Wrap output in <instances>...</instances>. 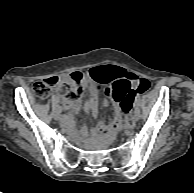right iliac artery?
Here are the masks:
<instances>
[{
  "mask_svg": "<svg viewBox=\"0 0 194 193\" xmlns=\"http://www.w3.org/2000/svg\"><path fill=\"white\" fill-rule=\"evenodd\" d=\"M71 118V115L70 114H64L63 116H62V119H64V120H68V119H70Z\"/></svg>",
  "mask_w": 194,
  "mask_h": 193,
  "instance_id": "82829eb1",
  "label": "right iliac artery"
}]
</instances>
